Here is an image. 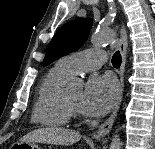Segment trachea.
Returning <instances> with one entry per match:
<instances>
[{
    "label": "trachea",
    "instance_id": "trachea-1",
    "mask_svg": "<svg viewBox=\"0 0 155 149\" xmlns=\"http://www.w3.org/2000/svg\"><path fill=\"white\" fill-rule=\"evenodd\" d=\"M121 54L119 51L115 52L113 57H112V64L114 67L118 68L121 65Z\"/></svg>",
    "mask_w": 155,
    "mask_h": 149
}]
</instances>
